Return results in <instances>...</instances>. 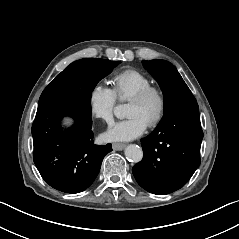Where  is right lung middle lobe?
<instances>
[{
	"label": "right lung middle lobe",
	"mask_w": 239,
	"mask_h": 239,
	"mask_svg": "<svg viewBox=\"0 0 239 239\" xmlns=\"http://www.w3.org/2000/svg\"><path fill=\"white\" fill-rule=\"evenodd\" d=\"M120 62L85 58L67 66L42 92L38 106L59 98L78 96L91 100L97 83L111 73Z\"/></svg>",
	"instance_id": "1"
}]
</instances>
